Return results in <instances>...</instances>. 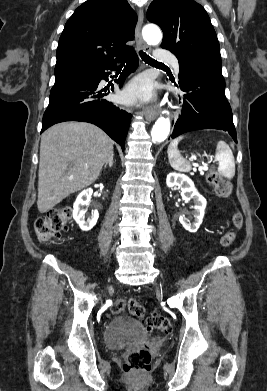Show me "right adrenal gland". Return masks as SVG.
<instances>
[{"label":"right adrenal gland","mask_w":267,"mask_h":391,"mask_svg":"<svg viewBox=\"0 0 267 391\" xmlns=\"http://www.w3.org/2000/svg\"><path fill=\"white\" fill-rule=\"evenodd\" d=\"M107 165H109L110 167L113 166V157H112L108 162H106V163L104 164V168H106Z\"/></svg>","instance_id":"2a0ac1e0"}]
</instances>
